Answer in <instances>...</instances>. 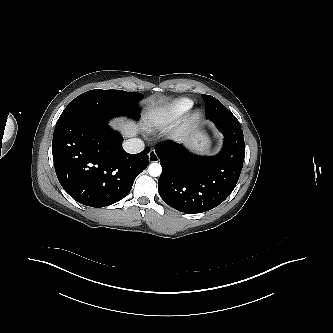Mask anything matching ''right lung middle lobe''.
<instances>
[{
    "label": "right lung middle lobe",
    "instance_id": "right-lung-middle-lobe-1",
    "mask_svg": "<svg viewBox=\"0 0 333 333\" xmlns=\"http://www.w3.org/2000/svg\"><path fill=\"white\" fill-rule=\"evenodd\" d=\"M141 93L122 90L95 89L73 99L62 112L58 121L78 120L83 123L107 122L115 116L127 115L137 120Z\"/></svg>",
    "mask_w": 333,
    "mask_h": 333
}]
</instances>
